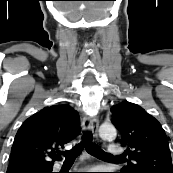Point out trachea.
Instances as JSON below:
<instances>
[{
	"instance_id": "1",
	"label": "trachea",
	"mask_w": 173,
	"mask_h": 173,
	"mask_svg": "<svg viewBox=\"0 0 173 173\" xmlns=\"http://www.w3.org/2000/svg\"><path fill=\"white\" fill-rule=\"evenodd\" d=\"M85 147L86 151L96 157H105V158H117L119 156H113L109 153L103 151L99 146L93 144L92 142V134L89 131L84 132L82 136V141L73 147L71 150L60 152L63 156H65V161H74L77 156H79Z\"/></svg>"
}]
</instances>
